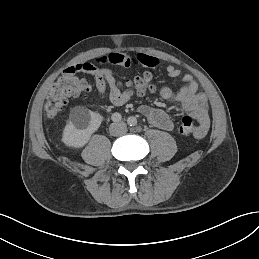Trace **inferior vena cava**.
<instances>
[{"instance_id": "inferior-vena-cava-1", "label": "inferior vena cava", "mask_w": 259, "mask_h": 259, "mask_svg": "<svg viewBox=\"0 0 259 259\" xmlns=\"http://www.w3.org/2000/svg\"><path fill=\"white\" fill-rule=\"evenodd\" d=\"M110 133L113 136L123 135L127 131V126L124 122H116L110 125Z\"/></svg>"}]
</instances>
